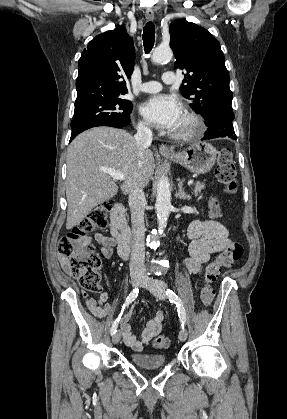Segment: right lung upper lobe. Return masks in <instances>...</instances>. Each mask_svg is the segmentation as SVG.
Masks as SVG:
<instances>
[{
  "label": "right lung upper lobe",
  "instance_id": "cb5924a9",
  "mask_svg": "<svg viewBox=\"0 0 287 419\" xmlns=\"http://www.w3.org/2000/svg\"><path fill=\"white\" fill-rule=\"evenodd\" d=\"M134 59V44L124 26L96 36L79 59L75 108L125 94L124 79L131 77Z\"/></svg>",
  "mask_w": 287,
  "mask_h": 419
}]
</instances>
